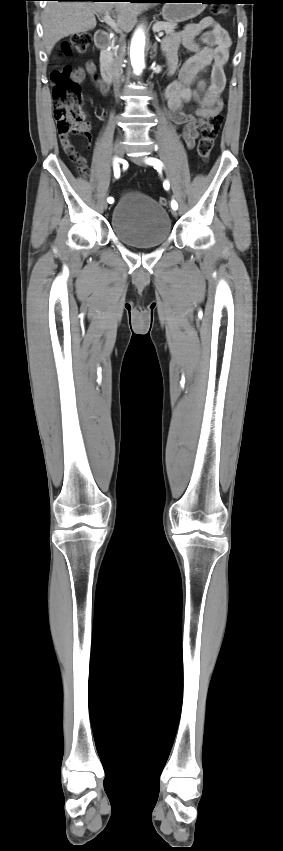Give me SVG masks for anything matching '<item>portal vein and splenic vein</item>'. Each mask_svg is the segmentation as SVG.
Wrapping results in <instances>:
<instances>
[{"mask_svg": "<svg viewBox=\"0 0 283 851\" xmlns=\"http://www.w3.org/2000/svg\"><path fill=\"white\" fill-rule=\"evenodd\" d=\"M103 21H104L107 25H109V26H110L113 30H115V31H117V32H120V29H119V27H118L117 23H116V22H115V21L111 18V16L109 15V13H108V12H106V13L104 14V16H103ZM163 35H164V33H163V32H160V33L158 34V37H162Z\"/></svg>", "mask_w": 283, "mask_h": 851, "instance_id": "portal-vein-and-splenic-vein-1", "label": "portal vein and splenic vein"}]
</instances>
